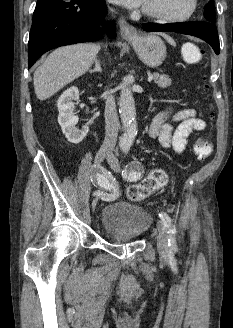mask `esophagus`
Here are the masks:
<instances>
[{
	"label": "esophagus",
	"instance_id": "esophagus-1",
	"mask_svg": "<svg viewBox=\"0 0 233 328\" xmlns=\"http://www.w3.org/2000/svg\"><path fill=\"white\" fill-rule=\"evenodd\" d=\"M121 37L125 40H134L138 37L137 29L130 25L124 18L119 19Z\"/></svg>",
	"mask_w": 233,
	"mask_h": 328
}]
</instances>
